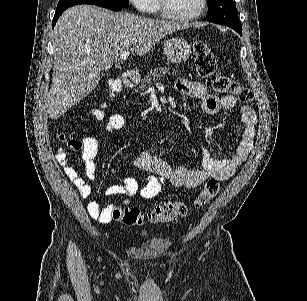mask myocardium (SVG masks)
<instances>
[{"instance_id":"obj_1","label":"myocardium","mask_w":307,"mask_h":301,"mask_svg":"<svg viewBox=\"0 0 307 301\" xmlns=\"http://www.w3.org/2000/svg\"><path fill=\"white\" fill-rule=\"evenodd\" d=\"M156 17L164 18V22H194L195 18L200 17L205 8V0H199L197 11H169L170 3L160 0Z\"/></svg>"}]
</instances>
